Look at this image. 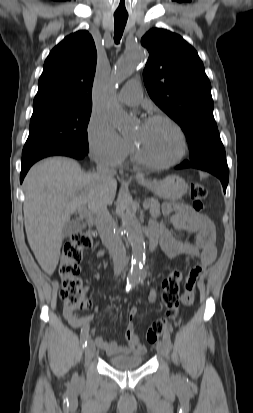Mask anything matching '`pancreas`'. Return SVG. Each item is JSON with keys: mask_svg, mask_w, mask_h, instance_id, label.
<instances>
[{"mask_svg": "<svg viewBox=\"0 0 253 413\" xmlns=\"http://www.w3.org/2000/svg\"><path fill=\"white\" fill-rule=\"evenodd\" d=\"M149 205L150 214L153 218H159L161 216L160 205L157 199L148 198L145 200Z\"/></svg>", "mask_w": 253, "mask_h": 413, "instance_id": "pancreas-1", "label": "pancreas"}]
</instances>
